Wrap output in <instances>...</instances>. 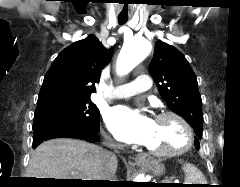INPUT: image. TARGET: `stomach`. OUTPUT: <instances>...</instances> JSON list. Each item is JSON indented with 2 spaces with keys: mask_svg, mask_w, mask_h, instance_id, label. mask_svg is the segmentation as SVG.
<instances>
[{
  "mask_svg": "<svg viewBox=\"0 0 240 187\" xmlns=\"http://www.w3.org/2000/svg\"><path fill=\"white\" fill-rule=\"evenodd\" d=\"M149 167L151 168V170L156 174V175H161L164 173L165 171V167L162 163L158 162V161H152L149 164Z\"/></svg>",
  "mask_w": 240,
  "mask_h": 187,
  "instance_id": "stomach-1",
  "label": "stomach"
}]
</instances>
